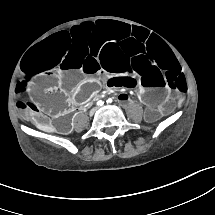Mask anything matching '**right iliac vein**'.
<instances>
[{
    "mask_svg": "<svg viewBox=\"0 0 215 215\" xmlns=\"http://www.w3.org/2000/svg\"><path fill=\"white\" fill-rule=\"evenodd\" d=\"M94 115V110H91L90 111V116H93Z\"/></svg>",
    "mask_w": 215,
    "mask_h": 215,
    "instance_id": "obj_1",
    "label": "right iliac vein"
}]
</instances>
